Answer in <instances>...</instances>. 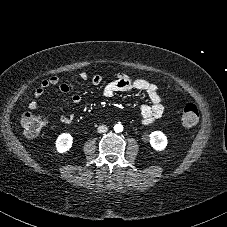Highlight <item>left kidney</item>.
Returning <instances> with one entry per match:
<instances>
[{"mask_svg":"<svg viewBox=\"0 0 227 227\" xmlns=\"http://www.w3.org/2000/svg\"><path fill=\"white\" fill-rule=\"evenodd\" d=\"M167 137L161 131H154L150 134V144L156 151H162L167 146Z\"/></svg>","mask_w":227,"mask_h":227,"instance_id":"5707ae66","label":"left kidney"}]
</instances>
